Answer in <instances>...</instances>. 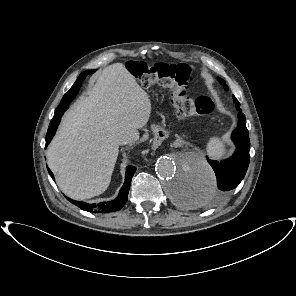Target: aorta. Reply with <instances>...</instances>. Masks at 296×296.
I'll use <instances>...</instances> for the list:
<instances>
[{"instance_id": "762f6f07", "label": "aorta", "mask_w": 296, "mask_h": 296, "mask_svg": "<svg viewBox=\"0 0 296 296\" xmlns=\"http://www.w3.org/2000/svg\"><path fill=\"white\" fill-rule=\"evenodd\" d=\"M155 171L166 182L171 199L182 206L202 207L209 203L214 195V171L195 154H185L177 159L160 157L156 162Z\"/></svg>"}]
</instances>
